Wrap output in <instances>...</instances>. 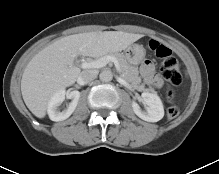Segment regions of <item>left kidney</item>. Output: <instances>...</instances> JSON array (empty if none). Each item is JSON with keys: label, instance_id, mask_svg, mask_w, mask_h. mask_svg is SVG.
<instances>
[{"label": "left kidney", "instance_id": "5707ae66", "mask_svg": "<svg viewBox=\"0 0 219 174\" xmlns=\"http://www.w3.org/2000/svg\"><path fill=\"white\" fill-rule=\"evenodd\" d=\"M143 103L146 105V110H142L140 106L133 101L132 108L134 113L147 122H157L164 116V108L161 99L157 94L144 92L142 93Z\"/></svg>", "mask_w": 219, "mask_h": 174}]
</instances>
